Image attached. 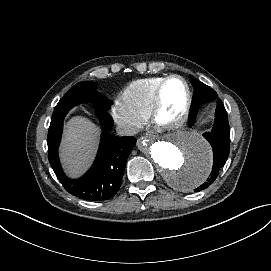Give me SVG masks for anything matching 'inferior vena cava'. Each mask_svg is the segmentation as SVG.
I'll return each instance as SVG.
<instances>
[{"instance_id": "inferior-vena-cava-1", "label": "inferior vena cava", "mask_w": 271, "mask_h": 271, "mask_svg": "<svg viewBox=\"0 0 271 271\" xmlns=\"http://www.w3.org/2000/svg\"><path fill=\"white\" fill-rule=\"evenodd\" d=\"M117 134L120 136H126V135H131L133 133L132 129L124 126V127H117Z\"/></svg>"}]
</instances>
